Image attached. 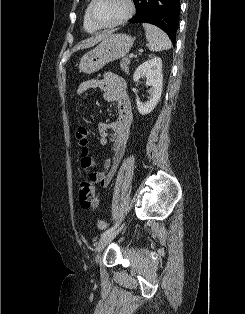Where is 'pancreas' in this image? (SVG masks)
Listing matches in <instances>:
<instances>
[{
    "mask_svg": "<svg viewBox=\"0 0 245 314\" xmlns=\"http://www.w3.org/2000/svg\"><path fill=\"white\" fill-rule=\"evenodd\" d=\"M129 64H130V59L128 57L123 58L120 62V67L122 71L127 74L129 73V68H128Z\"/></svg>",
    "mask_w": 245,
    "mask_h": 314,
    "instance_id": "1",
    "label": "pancreas"
}]
</instances>
